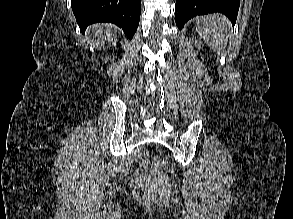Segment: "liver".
Wrapping results in <instances>:
<instances>
[{"label": "liver", "mask_w": 293, "mask_h": 219, "mask_svg": "<svg viewBox=\"0 0 293 219\" xmlns=\"http://www.w3.org/2000/svg\"><path fill=\"white\" fill-rule=\"evenodd\" d=\"M89 31L98 36L96 45L117 39V30L112 25L96 24L89 27Z\"/></svg>", "instance_id": "obj_1"}]
</instances>
